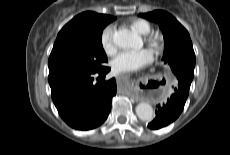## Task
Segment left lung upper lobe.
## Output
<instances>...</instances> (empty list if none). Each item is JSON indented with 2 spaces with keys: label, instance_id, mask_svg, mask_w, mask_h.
Wrapping results in <instances>:
<instances>
[{
  "label": "left lung upper lobe",
  "instance_id": "left-lung-upper-lobe-1",
  "mask_svg": "<svg viewBox=\"0 0 230 155\" xmlns=\"http://www.w3.org/2000/svg\"><path fill=\"white\" fill-rule=\"evenodd\" d=\"M140 16L160 26L165 41L163 60L170 65L177 79L184 78L192 81L195 54L187 30L175 17L163 10L141 13Z\"/></svg>",
  "mask_w": 230,
  "mask_h": 155
}]
</instances>
